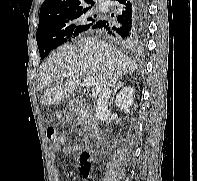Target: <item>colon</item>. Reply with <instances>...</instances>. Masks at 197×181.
<instances>
[{
  "mask_svg": "<svg viewBox=\"0 0 197 181\" xmlns=\"http://www.w3.org/2000/svg\"><path fill=\"white\" fill-rule=\"evenodd\" d=\"M46 138L53 150H58L62 143V138L58 135L57 130L53 126L46 128ZM79 170L84 177H89L92 170V163L90 161V154L87 151H82L78 158Z\"/></svg>",
  "mask_w": 197,
  "mask_h": 181,
  "instance_id": "obj_1",
  "label": "colon"
}]
</instances>
